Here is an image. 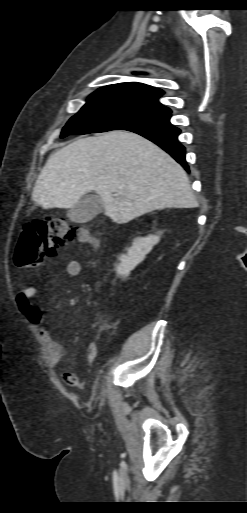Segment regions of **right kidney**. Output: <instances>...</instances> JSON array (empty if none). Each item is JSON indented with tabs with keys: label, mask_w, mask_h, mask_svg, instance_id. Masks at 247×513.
<instances>
[{
	"label": "right kidney",
	"mask_w": 247,
	"mask_h": 513,
	"mask_svg": "<svg viewBox=\"0 0 247 513\" xmlns=\"http://www.w3.org/2000/svg\"><path fill=\"white\" fill-rule=\"evenodd\" d=\"M160 240L159 235L135 238L132 246L127 249V254L119 257L120 263L116 266L117 274L127 277Z\"/></svg>",
	"instance_id": "right-kidney-1"
}]
</instances>
